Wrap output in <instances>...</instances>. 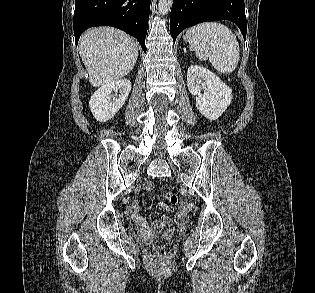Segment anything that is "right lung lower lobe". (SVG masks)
Masks as SVG:
<instances>
[{"label":"right lung lower lobe","instance_id":"1","mask_svg":"<svg viewBox=\"0 0 315 293\" xmlns=\"http://www.w3.org/2000/svg\"><path fill=\"white\" fill-rule=\"evenodd\" d=\"M151 0H76L73 19L76 45L93 26H113L134 36L146 52L145 38Z\"/></svg>","mask_w":315,"mask_h":293}]
</instances>
